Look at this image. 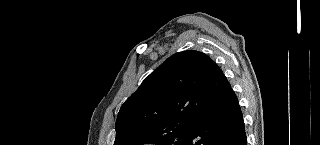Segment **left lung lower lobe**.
<instances>
[{
  "label": "left lung lower lobe",
  "instance_id": "obj_1",
  "mask_svg": "<svg viewBox=\"0 0 320 145\" xmlns=\"http://www.w3.org/2000/svg\"><path fill=\"white\" fill-rule=\"evenodd\" d=\"M207 94V108L184 145H246L238 99L218 66L208 82Z\"/></svg>",
  "mask_w": 320,
  "mask_h": 145
}]
</instances>
